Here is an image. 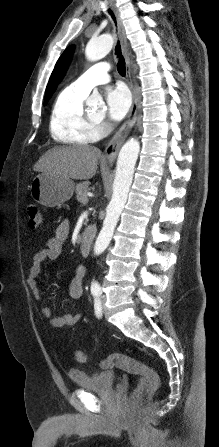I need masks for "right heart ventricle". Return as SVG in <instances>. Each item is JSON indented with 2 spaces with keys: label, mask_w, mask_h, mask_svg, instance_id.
Listing matches in <instances>:
<instances>
[{
  "label": "right heart ventricle",
  "mask_w": 219,
  "mask_h": 447,
  "mask_svg": "<svg viewBox=\"0 0 219 447\" xmlns=\"http://www.w3.org/2000/svg\"><path fill=\"white\" fill-rule=\"evenodd\" d=\"M85 98L69 86L57 95L50 115V133L56 142L83 145L99 138L100 131L86 118Z\"/></svg>",
  "instance_id": "obj_1"
}]
</instances>
